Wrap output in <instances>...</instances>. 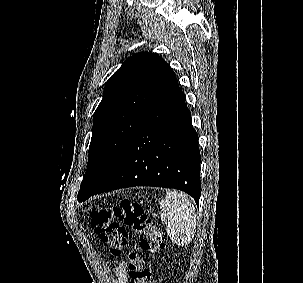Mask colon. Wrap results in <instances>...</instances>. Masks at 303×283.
<instances>
[{"instance_id":"obj_1","label":"colon","mask_w":303,"mask_h":283,"mask_svg":"<svg viewBox=\"0 0 303 283\" xmlns=\"http://www.w3.org/2000/svg\"><path fill=\"white\" fill-rule=\"evenodd\" d=\"M120 223L141 236L128 257L130 283H152V273L145 266V256L161 250L164 241L143 206L123 199L119 205L97 206L91 212V224L114 258L122 255L128 243V232Z\"/></svg>"}]
</instances>
